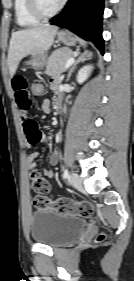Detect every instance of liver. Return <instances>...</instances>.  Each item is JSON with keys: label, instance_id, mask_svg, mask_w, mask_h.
I'll use <instances>...</instances> for the list:
<instances>
[{"label": "liver", "instance_id": "liver-1", "mask_svg": "<svg viewBox=\"0 0 134 281\" xmlns=\"http://www.w3.org/2000/svg\"><path fill=\"white\" fill-rule=\"evenodd\" d=\"M58 27L40 24L12 34L8 50V67L13 76L20 61L34 54H45L51 47Z\"/></svg>", "mask_w": 134, "mask_h": 281}]
</instances>
